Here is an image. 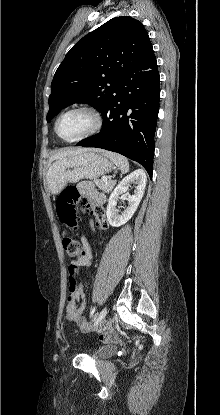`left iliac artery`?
<instances>
[{
    "instance_id": "left-iliac-artery-1",
    "label": "left iliac artery",
    "mask_w": 220,
    "mask_h": 415,
    "mask_svg": "<svg viewBox=\"0 0 220 415\" xmlns=\"http://www.w3.org/2000/svg\"><path fill=\"white\" fill-rule=\"evenodd\" d=\"M94 312H95V307L91 308L90 318L94 315ZM105 315H106V311L105 310H102L101 313L99 314L98 321H100Z\"/></svg>"
}]
</instances>
